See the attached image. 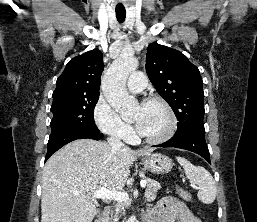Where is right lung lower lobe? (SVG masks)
<instances>
[{
  "label": "right lung lower lobe",
  "instance_id": "right-lung-lower-lobe-1",
  "mask_svg": "<svg viewBox=\"0 0 257 222\" xmlns=\"http://www.w3.org/2000/svg\"><path fill=\"white\" fill-rule=\"evenodd\" d=\"M103 137L102 133H87V132H69L62 135H59L53 139H49L48 141V150L45 157V161L58 149H60L65 144L76 140V139H94L100 140Z\"/></svg>",
  "mask_w": 257,
  "mask_h": 222
}]
</instances>
